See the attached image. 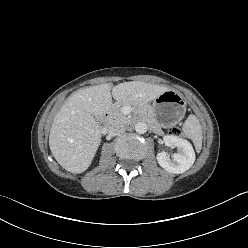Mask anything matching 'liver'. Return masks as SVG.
I'll list each match as a JSON object with an SVG mask.
<instances>
[{"label":"liver","instance_id":"liver-1","mask_svg":"<svg viewBox=\"0 0 248 248\" xmlns=\"http://www.w3.org/2000/svg\"><path fill=\"white\" fill-rule=\"evenodd\" d=\"M167 90L164 86L131 81L114 87L111 83L90 86L73 93L52 123L49 135L52 155L65 170L74 174L84 172L101 142V130L94 117L109 110L112 97L119 103L143 104Z\"/></svg>","mask_w":248,"mask_h":248}]
</instances>
